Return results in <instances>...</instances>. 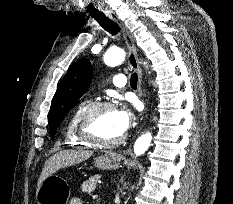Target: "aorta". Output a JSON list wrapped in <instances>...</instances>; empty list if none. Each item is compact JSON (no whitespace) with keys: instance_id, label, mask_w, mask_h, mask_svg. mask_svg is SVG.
<instances>
[{"instance_id":"aorta-1","label":"aorta","mask_w":233,"mask_h":204,"mask_svg":"<svg viewBox=\"0 0 233 204\" xmlns=\"http://www.w3.org/2000/svg\"><path fill=\"white\" fill-rule=\"evenodd\" d=\"M125 51L121 48H110L104 55V62L108 66H117L125 59ZM152 140L150 132L141 135L134 144V153L137 156L144 154L149 148Z\"/></svg>"}]
</instances>
